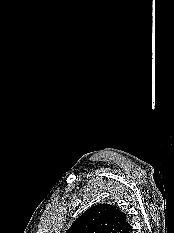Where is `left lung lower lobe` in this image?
Wrapping results in <instances>:
<instances>
[{
    "mask_svg": "<svg viewBox=\"0 0 174 233\" xmlns=\"http://www.w3.org/2000/svg\"><path fill=\"white\" fill-rule=\"evenodd\" d=\"M133 229L132 226L128 227L123 233H132Z\"/></svg>",
    "mask_w": 174,
    "mask_h": 233,
    "instance_id": "obj_1",
    "label": "left lung lower lobe"
}]
</instances>
